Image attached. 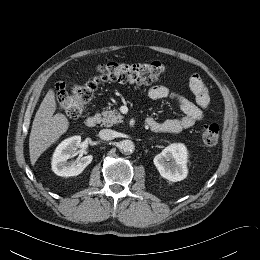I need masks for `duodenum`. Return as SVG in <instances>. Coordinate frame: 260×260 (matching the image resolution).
<instances>
[{
	"label": "duodenum",
	"mask_w": 260,
	"mask_h": 260,
	"mask_svg": "<svg viewBox=\"0 0 260 260\" xmlns=\"http://www.w3.org/2000/svg\"><path fill=\"white\" fill-rule=\"evenodd\" d=\"M99 122V117L96 116V115H92V116H89L85 119L84 121V125L87 127V128H93L94 126H96V124ZM147 124H149L148 120H147Z\"/></svg>",
	"instance_id": "410a0bca"
}]
</instances>
